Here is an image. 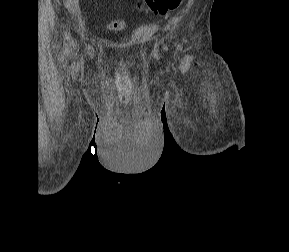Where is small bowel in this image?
Segmentation results:
<instances>
[{"label": "small bowel", "mask_w": 289, "mask_h": 252, "mask_svg": "<svg viewBox=\"0 0 289 252\" xmlns=\"http://www.w3.org/2000/svg\"><path fill=\"white\" fill-rule=\"evenodd\" d=\"M66 9L73 13L78 14L81 12L80 0H63Z\"/></svg>", "instance_id": "1"}]
</instances>
